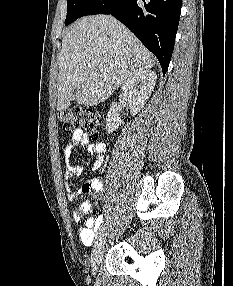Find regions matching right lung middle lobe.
<instances>
[{"instance_id": "dd1d6c3e", "label": "right lung middle lobe", "mask_w": 233, "mask_h": 286, "mask_svg": "<svg viewBox=\"0 0 233 286\" xmlns=\"http://www.w3.org/2000/svg\"><path fill=\"white\" fill-rule=\"evenodd\" d=\"M96 0H67V16L65 25L74 22L76 19L82 17L85 11L95 2Z\"/></svg>"}]
</instances>
